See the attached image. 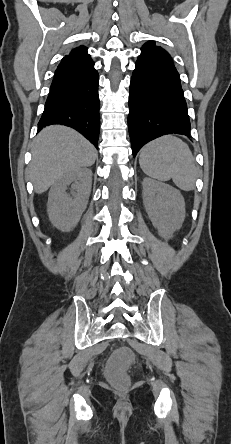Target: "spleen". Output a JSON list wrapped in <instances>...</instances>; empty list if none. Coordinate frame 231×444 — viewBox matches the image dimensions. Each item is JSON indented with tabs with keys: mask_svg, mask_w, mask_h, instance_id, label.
I'll list each match as a JSON object with an SVG mask.
<instances>
[{
	"mask_svg": "<svg viewBox=\"0 0 231 444\" xmlns=\"http://www.w3.org/2000/svg\"><path fill=\"white\" fill-rule=\"evenodd\" d=\"M139 164L149 177L173 180L184 191L195 188L197 168L189 146L175 136H163L146 144L140 153Z\"/></svg>",
	"mask_w": 231,
	"mask_h": 444,
	"instance_id": "obj_1",
	"label": "spleen"
}]
</instances>
